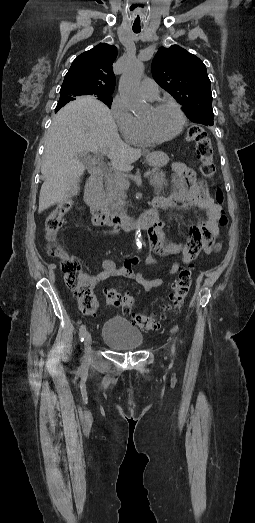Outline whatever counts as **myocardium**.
<instances>
[{"mask_svg":"<svg viewBox=\"0 0 255 523\" xmlns=\"http://www.w3.org/2000/svg\"><path fill=\"white\" fill-rule=\"evenodd\" d=\"M164 106H172L177 111V113L180 117V125H179L177 131L175 133H173L172 135L167 136V137H158V136H155L151 132L148 122L146 120L141 119V128H142L143 135L149 142L163 143V142L171 141V140L175 139L176 137H178L182 133V131L185 127L186 116H185L183 110L181 109V107L177 103H175L173 101L164 100V101L156 102L155 104L152 105L151 108L153 110H158Z\"/></svg>","mask_w":255,"mask_h":523,"instance_id":"myocardium-1","label":"myocardium"}]
</instances>
